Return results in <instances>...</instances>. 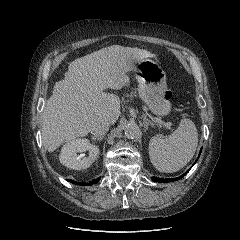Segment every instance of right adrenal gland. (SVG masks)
Here are the masks:
<instances>
[{
    "label": "right adrenal gland",
    "instance_id": "1",
    "mask_svg": "<svg viewBox=\"0 0 240 240\" xmlns=\"http://www.w3.org/2000/svg\"><path fill=\"white\" fill-rule=\"evenodd\" d=\"M103 138H104V135H102V136H94V137H92V140L93 141H102Z\"/></svg>",
    "mask_w": 240,
    "mask_h": 240
}]
</instances>
